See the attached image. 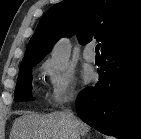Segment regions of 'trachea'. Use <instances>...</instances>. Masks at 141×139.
I'll use <instances>...</instances> for the list:
<instances>
[{"label": "trachea", "instance_id": "obj_1", "mask_svg": "<svg viewBox=\"0 0 141 139\" xmlns=\"http://www.w3.org/2000/svg\"><path fill=\"white\" fill-rule=\"evenodd\" d=\"M99 49H100V44H98L95 48V52L98 54L99 53Z\"/></svg>", "mask_w": 141, "mask_h": 139}]
</instances>
